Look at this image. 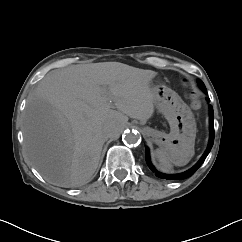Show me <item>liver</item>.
<instances>
[{
  "instance_id": "6515ba94",
  "label": "liver",
  "mask_w": 242,
  "mask_h": 242,
  "mask_svg": "<svg viewBox=\"0 0 242 242\" xmlns=\"http://www.w3.org/2000/svg\"><path fill=\"white\" fill-rule=\"evenodd\" d=\"M157 75L120 62L72 65L48 73L28 96L22 131L27 155L49 183L76 187L95 173L114 120L154 113ZM114 137V138H116Z\"/></svg>"
}]
</instances>
